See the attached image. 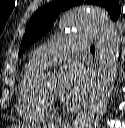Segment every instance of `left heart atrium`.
<instances>
[{"instance_id":"39dd6f15","label":"left heart atrium","mask_w":125,"mask_h":128,"mask_svg":"<svg viewBox=\"0 0 125 128\" xmlns=\"http://www.w3.org/2000/svg\"><path fill=\"white\" fill-rule=\"evenodd\" d=\"M92 81L90 69L78 62L67 63L60 72L57 95L66 103L79 101Z\"/></svg>"}]
</instances>
